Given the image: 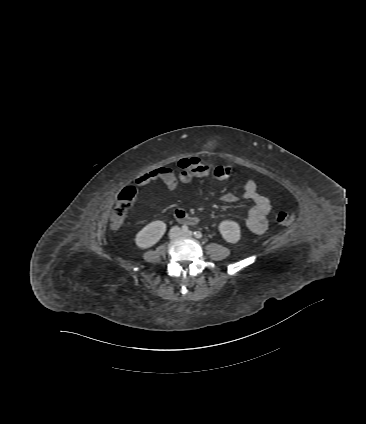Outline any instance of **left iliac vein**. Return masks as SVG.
I'll return each mask as SVG.
<instances>
[{
  "instance_id": "obj_1",
  "label": "left iliac vein",
  "mask_w": 366,
  "mask_h": 424,
  "mask_svg": "<svg viewBox=\"0 0 366 424\" xmlns=\"http://www.w3.org/2000/svg\"><path fill=\"white\" fill-rule=\"evenodd\" d=\"M181 235L186 236V237H191V236H193V233H192V231H187V232H182Z\"/></svg>"
}]
</instances>
